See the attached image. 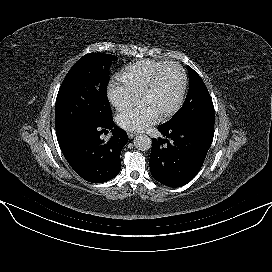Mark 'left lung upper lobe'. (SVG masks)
Returning <instances> with one entry per match:
<instances>
[{
  "instance_id": "1",
  "label": "left lung upper lobe",
  "mask_w": 272,
  "mask_h": 272,
  "mask_svg": "<svg viewBox=\"0 0 272 272\" xmlns=\"http://www.w3.org/2000/svg\"><path fill=\"white\" fill-rule=\"evenodd\" d=\"M190 85L182 108L164 125L180 127L187 124H214V106L201 77L188 67Z\"/></svg>"
}]
</instances>
